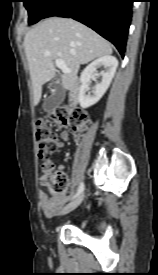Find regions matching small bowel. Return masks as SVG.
Returning a JSON list of instances; mask_svg holds the SVG:
<instances>
[{"label":"small bowel","instance_id":"c3829d8e","mask_svg":"<svg viewBox=\"0 0 158 275\" xmlns=\"http://www.w3.org/2000/svg\"><path fill=\"white\" fill-rule=\"evenodd\" d=\"M68 139V133L67 132H62L60 134V138L56 144V153L59 152L60 148L63 146L64 142ZM47 162H45L42 165V170L45 171V165ZM67 199V195H64L63 198L59 199V200H53V199H49L48 195L41 191L40 192V202H41V208H42V212L44 214L45 217L47 218H51L53 217L62 207V205L64 204V202Z\"/></svg>","mask_w":158,"mask_h":275}]
</instances>
